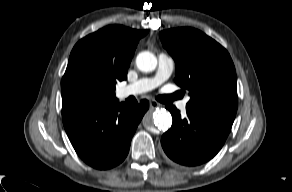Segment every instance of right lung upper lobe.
<instances>
[{
  "instance_id": "cb5924a9",
  "label": "right lung upper lobe",
  "mask_w": 292,
  "mask_h": 192,
  "mask_svg": "<svg viewBox=\"0 0 292 192\" xmlns=\"http://www.w3.org/2000/svg\"><path fill=\"white\" fill-rule=\"evenodd\" d=\"M147 33L148 30L110 25L84 37L74 46L64 76L75 69L87 70L109 86L98 106L118 102L115 84L126 79L137 43Z\"/></svg>"
}]
</instances>
